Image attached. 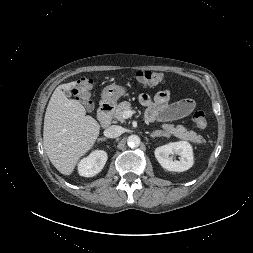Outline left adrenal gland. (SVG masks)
Segmentation results:
<instances>
[{"label":"left adrenal gland","instance_id":"left-adrenal-gland-1","mask_svg":"<svg viewBox=\"0 0 253 253\" xmlns=\"http://www.w3.org/2000/svg\"><path fill=\"white\" fill-rule=\"evenodd\" d=\"M161 136L169 137L166 133H163L160 130H156V131H154L153 133L150 134V137H152V138L161 137Z\"/></svg>","mask_w":253,"mask_h":253}]
</instances>
